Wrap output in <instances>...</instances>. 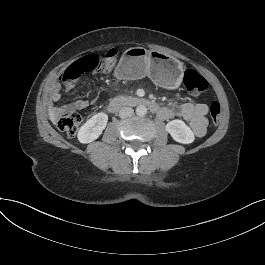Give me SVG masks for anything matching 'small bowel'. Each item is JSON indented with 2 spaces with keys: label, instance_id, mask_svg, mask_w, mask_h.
Masks as SVG:
<instances>
[{
  "label": "small bowel",
  "instance_id": "small-bowel-1",
  "mask_svg": "<svg viewBox=\"0 0 265 265\" xmlns=\"http://www.w3.org/2000/svg\"><path fill=\"white\" fill-rule=\"evenodd\" d=\"M50 99L57 102L60 99L59 85L55 84L51 88ZM90 101L78 99L63 106L52 108L53 117H59L73 110H81L90 105ZM164 114L161 119L180 118L190 123L191 130L196 137H203L206 134L208 106L205 103H183L177 108L163 107Z\"/></svg>",
  "mask_w": 265,
  "mask_h": 265
}]
</instances>
